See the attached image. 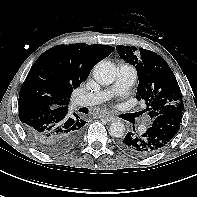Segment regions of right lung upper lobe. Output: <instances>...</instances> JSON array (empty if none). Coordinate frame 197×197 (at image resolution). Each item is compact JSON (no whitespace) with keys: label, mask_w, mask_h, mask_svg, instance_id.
<instances>
[{"label":"right lung upper lobe","mask_w":197,"mask_h":197,"mask_svg":"<svg viewBox=\"0 0 197 197\" xmlns=\"http://www.w3.org/2000/svg\"><path fill=\"white\" fill-rule=\"evenodd\" d=\"M108 45H61L43 53L32 65L22 87L24 95L52 108L68 106L74 89L85 81L92 68L109 56Z\"/></svg>","instance_id":"obj_1"}]
</instances>
